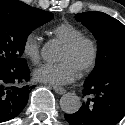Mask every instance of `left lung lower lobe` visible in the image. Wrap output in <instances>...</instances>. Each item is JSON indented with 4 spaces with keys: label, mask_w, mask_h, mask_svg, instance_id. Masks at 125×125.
<instances>
[{
    "label": "left lung lower lobe",
    "mask_w": 125,
    "mask_h": 125,
    "mask_svg": "<svg viewBox=\"0 0 125 125\" xmlns=\"http://www.w3.org/2000/svg\"><path fill=\"white\" fill-rule=\"evenodd\" d=\"M82 93L92 98L76 113L65 114L70 125H116L125 116V71H110L86 80Z\"/></svg>",
    "instance_id": "1"
}]
</instances>
